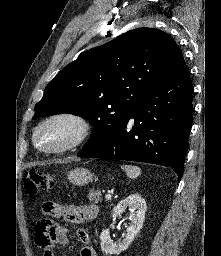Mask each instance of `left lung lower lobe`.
I'll list each match as a JSON object with an SVG mask.
<instances>
[{"instance_id": "left-lung-lower-lobe-1", "label": "left lung lower lobe", "mask_w": 221, "mask_h": 256, "mask_svg": "<svg viewBox=\"0 0 221 256\" xmlns=\"http://www.w3.org/2000/svg\"><path fill=\"white\" fill-rule=\"evenodd\" d=\"M193 94L185 65L78 156L154 163L171 167L181 178L193 120ZM132 119L134 126L129 128Z\"/></svg>"}]
</instances>
